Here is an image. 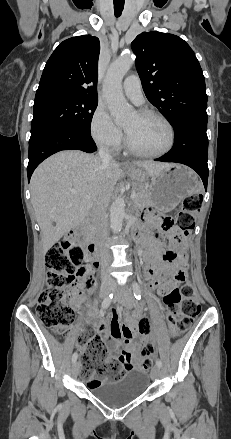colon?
<instances>
[{
  "mask_svg": "<svg viewBox=\"0 0 231 439\" xmlns=\"http://www.w3.org/2000/svg\"><path fill=\"white\" fill-rule=\"evenodd\" d=\"M202 205V196L193 194L183 200L181 210L174 218L156 217L153 221L163 231H169L174 226L181 229L182 234L175 239L185 242L188 233L195 225V214ZM173 259V255H169ZM46 266L48 268V280L46 289L43 290L36 306V313L42 324L56 335H64L70 329L73 321V310L70 305L71 296L82 286L90 287L93 284L92 274L97 270L98 263H86V255L83 249L75 246L69 239H63L49 248L46 253ZM178 271L174 278L182 283L180 288H172L164 293V303L167 306V320L173 335H179L188 330L194 319L200 312L194 286L186 282L184 272V258L177 260ZM142 335L149 333L147 319H142L138 325ZM85 346L81 355L83 365L82 377L88 381L90 387L99 386L103 378L118 380L122 377L121 364L117 361H108L107 348L98 337L88 334L87 340L81 341ZM144 354H154L153 346H146ZM128 367H132L129 363ZM141 367L150 370L152 360L146 358L141 362Z\"/></svg>",
  "mask_w": 231,
  "mask_h": 439,
  "instance_id": "colon-1",
  "label": "colon"
}]
</instances>
